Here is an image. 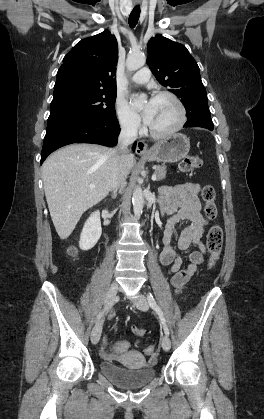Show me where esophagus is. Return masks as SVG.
<instances>
[{
  "label": "esophagus",
  "instance_id": "obj_1",
  "mask_svg": "<svg viewBox=\"0 0 264 419\" xmlns=\"http://www.w3.org/2000/svg\"><path fill=\"white\" fill-rule=\"evenodd\" d=\"M136 153L145 155L149 153L148 145L144 141H138L136 146Z\"/></svg>",
  "mask_w": 264,
  "mask_h": 419
}]
</instances>
